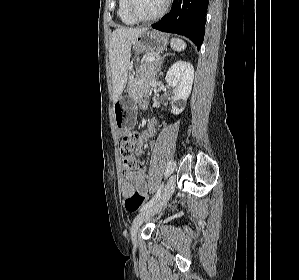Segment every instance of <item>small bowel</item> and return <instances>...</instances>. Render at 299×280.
Wrapping results in <instances>:
<instances>
[{"instance_id":"1","label":"small bowel","mask_w":299,"mask_h":280,"mask_svg":"<svg viewBox=\"0 0 299 280\" xmlns=\"http://www.w3.org/2000/svg\"><path fill=\"white\" fill-rule=\"evenodd\" d=\"M157 128L158 122L156 120H150L147 123L146 128L142 131V135L137 137L135 145L136 155H141L143 150L148 147V141L156 134ZM121 192L125 198L132 196L134 193H139L145 199L148 193L145 171L142 168H137L124 173Z\"/></svg>"}]
</instances>
